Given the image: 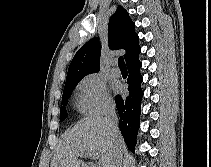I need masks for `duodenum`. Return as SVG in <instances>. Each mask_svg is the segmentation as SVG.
<instances>
[{
  "label": "duodenum",
  "instance_id": "1",
  "mask_svg": "<svg viewBox=\"0 0 211 167\" xmlns=\"http://www.w3.org/2000/svg\"><path fill=\"white\" fill-rule=\"evenodd\" d=\"M87 167H96V166H94V165H89V166H87Z\"/></svg>",
  "mask_w": 211,
  "mask_h": 167
}]
</instances>
